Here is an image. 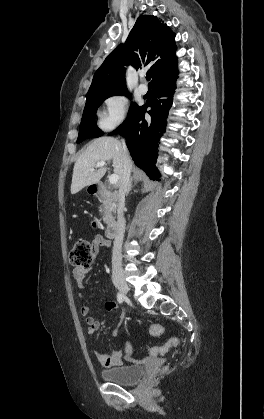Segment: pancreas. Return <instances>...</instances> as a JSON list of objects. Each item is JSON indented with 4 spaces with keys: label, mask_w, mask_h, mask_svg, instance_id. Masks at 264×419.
Segmentation results:
<instances>
[{
    "label": "pancreas",
    "mask_w": 264,
    "mask_h": 419,
    "mask_svg": "<svg viewBox=\"0 0 264 419\" xmlns=\"http://www.w3.org/2000/svg\"><path fill=\"white\" fill-rule=\"evenodd\" d=\"M116 206L110 200H105L100 206L99 211L103 215L105 222H108L113 212H115Z\"/></svg>",
    "instance_id": "obj_1"
}]
</instances>
